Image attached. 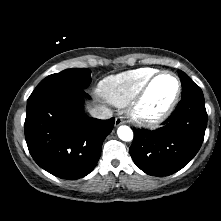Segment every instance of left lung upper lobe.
<instances>
[{
	"instance_id": "5c2ea615",
	"label": "left lung upper lobe",
	"mask_w": 221,
	"mask_h": 221,
	"mask_svg": "<svg viewBox=\"0 0 221 221\" xmlns=\"http://www.w3.org/2000/svg\"><path fill=\"white\" fill-rule=\"evenodd\" d=\"M178 75L181 79V84H182V97H203V93L201 88L196 85L189 77L187 74H185L183 71L179 70Z\"/></svg>"
}]
</instances>
